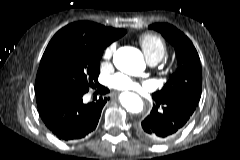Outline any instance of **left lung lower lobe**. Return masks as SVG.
<instances>
[{
  "instance_id": "obj_1",
  "label": "left lung lower lobe",
  "mask_w": 240,
  "mask_h": 160,
  "mask_svg": "<svg viewBox=\"0 0 240 160\" xmlns=\"http://www.w3.org/2000/svg\"><path fill=\"white\" fill-rule=\"evenodd\" d=\"M155 100V99H154ZM151 113L137 124L138 134L152 143H163L173 138L194 113L196 106L179 100H155ZM162 106L163 111H158Z\"/></svg>"
}]
</instances>
